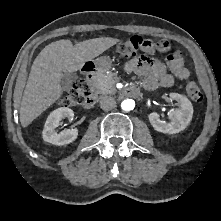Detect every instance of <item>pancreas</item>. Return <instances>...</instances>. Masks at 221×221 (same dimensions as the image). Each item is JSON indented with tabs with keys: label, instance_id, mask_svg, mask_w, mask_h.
Wrapping results in <instances>:
<instances>
[{
	"label": "pancreas",
	"instance_id": "1",
	"mask_svg": "<svg viewBox=\"0 0 221 221\" xmlns=\"http://www.w3.org/2000/svg\"><path fill=\"white\" fill-rule=\"evenodd\" d=\"M114 84L112 73H100L92 84L91 89L95 94H111L116 91Z\"/></svg>",
	"mask_w": 221,
	"mask_h": 221
}]
</instances>
